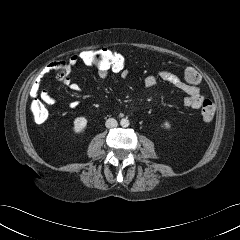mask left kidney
<instances>
[{
  "label": "left kidney",
  "mask_w": 240,
  "mask_h": 240,
  "mask_svg": "<svg viewBox=\"0 0 240 240\" xmlns=\"http://www.w3.org/2000/svg\"><path fill=\"white\" fill-rule=\"evenodd\" d=\"M163 125H164L165 129H170L171 128V124L168 121H165L163 123Z\"/></svg>",
  "instance_id": "left-kidney-1"
}]
</instances>
